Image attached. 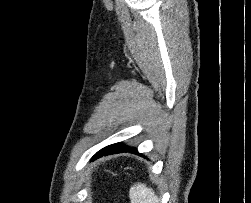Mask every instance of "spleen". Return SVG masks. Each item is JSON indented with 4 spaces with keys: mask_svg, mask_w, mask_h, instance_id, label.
<instances>
[{
    "mask_svg": "<svg viewBox=\"0 0 251 203\" xmlns=\"http://www.w3.org/2000/svg\"><path fill=\"white\" fill-rule=\"evenodd\" d=\"M131 203H159L152 188H148L146 184L137 183L131 186L129 190Z\"/></svg>",
    "mask_w": 251,
    "mask_h": 203,
    "instance_id": "1",
    "label": "spleen"
}]
</instances>
